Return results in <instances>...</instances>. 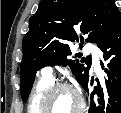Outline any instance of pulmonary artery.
<instances>
[{
  "label": "pulmonary artery",
  "instance_id": "pulmonary-artery-1",
  "mask_svg": "<svg viewBox=\"0 0 121 113\" xmlns=\"http://www.w3.org/2000/svg\"><path fill=\"white\" fill-rule=\"evenodd\" d=\"M87 53H92L93 54V68L96 73H101V66L99 63V50L96 46L94 45H89L87 46L86 49ZM41 73L43 76L50 77L52 78L53 76V70L50 66H45L41 69Z\"/></svg>",
  "mask_w": 121,
  "mask_h": 113
}]
</instances>
